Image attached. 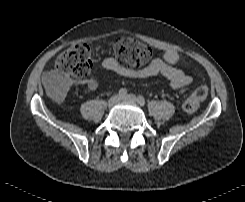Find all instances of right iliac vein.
<instances>
[{"instance_id":"63e3f726","label":"right iliac vein","mask_w":245,"mask_h":202,"mask_svg":"<svg viewBox=\"0 0 245 202\" xmlns=\"http://www.w3.org/2000/svg\"><path fill=\"white\" fill-rule=\"evenodd\" d=\"M121 100V97L119 95L112 96L109 101H108V107L112 108L114 107L117 103H119Z\"/></svg>"}]
</instances>
